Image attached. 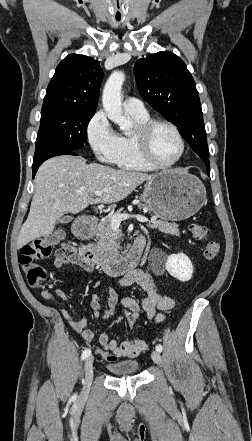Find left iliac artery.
Wrapping results in <instances>:
<instances>
[{
  "mask_svg": "<svg viewBox=\"0 0 252 441\" xmlns=\"http://www.w3.org/2000/svg\"><path fill=\"white\" fill-rule=\"evenodd\" d=\"M156 351L161 352L163 350V347L159 344L156 346Z\"/></svg>",
  "mask_w": 252,
  "mask_h": 441,
  "instance_id": "left-iliac-artery-1",
  "label": "left iliac artery"
}]
</instances>
